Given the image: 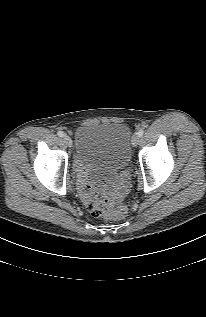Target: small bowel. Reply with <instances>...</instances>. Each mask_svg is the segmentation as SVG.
<instances>
[{"instance_id": "small-bowel-1", "label": "small bowel", "mask_w": 206, "mask_h": 317, "mask_svg": "<svg viewBox=\"0 0 206 317\" xmlns=\"http://www.w3.org/2000/svg\"><path fill=\"white\" fill-rule=\"evenodd\" d=\"M79 182H80V192H81V196L83 201L85 202V204H87L88 202V198H89V190H90V186L86 181V172L85 170H79ZM126 189V181H123V185H122V191H124Z\"/></svg>"}]
</instances>
